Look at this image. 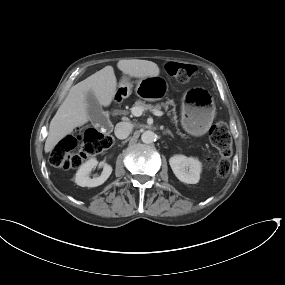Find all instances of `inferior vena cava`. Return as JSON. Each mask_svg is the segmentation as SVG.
I'll use <instances>...</instances> for the list:
<instances>
[{"label":"inferior vena cava","instance_id":"inferior-vena-cava-1","mask_svg":"<svg viewBox=\"0 0 285 285\" xmlns=\"http://www.w3.org/2000/svg\"><path fill=\"white\" fill-rule=\"evenodd\" d=\"M132 131V124L129 122H119L117 123V125L115 126V136L118 139H125L129 136V134Z\"/></svg>","mask_w":285,"mask_h":285}]
</instances>
